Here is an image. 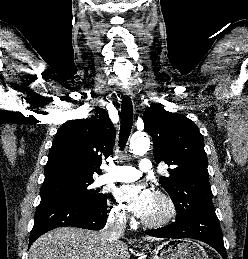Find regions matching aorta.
Returning <instances> with one entry per match:
<instances>
[{
	"mask_svg": "<svg viewBox=\"0 0 248 259\" xmlns=\"http://www.w3.org/2000/svg\"><path fill=\"white\" fill-rule=\"evenodd\" d=\"M130 148L134 154H143L150 148V140L145 135H134L130 140Z\"/></svg>",
	"mask_w": 248,
	"mask_h": 259,
	"instance_id": "762f6f07",
	"label": "aorta"
}]
</instances>
